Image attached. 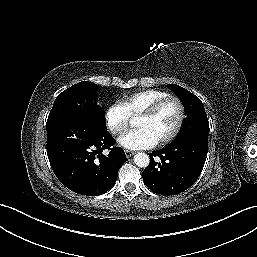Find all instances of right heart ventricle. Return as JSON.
Returning <instances> with one entry per match:
<instances>
[{"mask_svg": "<svg viewBox=\"0 0 257 257\" xmlns=\"http://www.w3.org/2000/svg\"><path fill=\"white\" fill-rule=\"evenodd\" d=\"M170 95L159 89L137 91L124 97L123 104L131 116H138L156 101Z\"/></svg>", "mask_w": 257, "mask_h": 257, "instance_id": "right-heart-ventricle-1", "label": "right heart ventricle"}]
</instances>
